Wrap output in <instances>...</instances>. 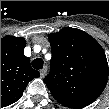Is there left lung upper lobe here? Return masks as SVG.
I'll use <instances>...</instances> for the list:
<instances>
[{
	"label": "left lung upper lobe",
	"instance_id": "5c2ea615",
	"mask_svg": "<svg viewBox=\"0 0 109 109\" xmlns=\"http://www.w3.org/2000/svg\"><path fill=\"white\" fill-rule=\"evenodd\" d=\"M50 74L44 78L52 95L80 106L95 101L104 90L109 65L100 44L86 32L63 28L49 35Z\"/></svg>",
	"mask_w": 109,
	"mask_h": 109
}]
</instances>
